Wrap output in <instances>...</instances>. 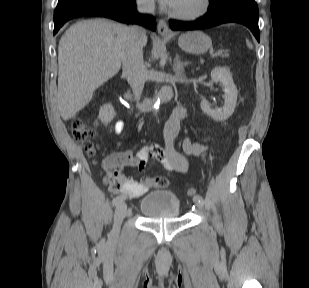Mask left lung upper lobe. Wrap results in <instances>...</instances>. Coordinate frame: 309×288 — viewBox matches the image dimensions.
<instances>
[{
	"label": "left lung upper lobe",
	"instance_id": "obj_1",
	"mask_svg": "<svg viewBox=\"0 0 309 288\" xmlns=\"http://www.w3.org/2000/svg\"><path fill=\"white\" fill-rule=\"evenodd\" d=\"M221 0H209L210 2V6H213L215 4H217L218 2H220Z\"/></svg>",
	"mask_w": 309,
	"mask_h": 288
}]
</instances>
